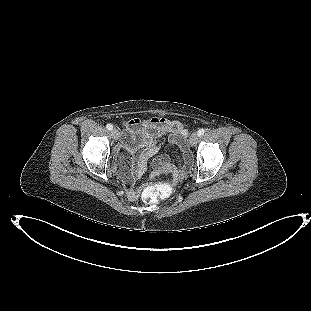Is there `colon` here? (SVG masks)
Listing matches in <instances>:
<instances>
[{"instance_id":"obj_1","label":"colon","mask_w":311,"mask_h":311,"mask_svg":"<svg viewBox=\"0 0 311 311\" xmlns=\"http://www.w3.org/2000/svg\"><path fill=\"white\" fill-rule=\"evenodd\" d=\"M125 161L120 164L121 171L124 172ZM174 193V188L169 184H150L143 193L142 198L146 203L155 204L162 199L170 197Z\"/></svg>"}]
</instances>
